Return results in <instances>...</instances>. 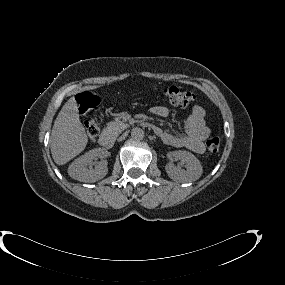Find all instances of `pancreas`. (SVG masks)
Masks as SVG:
<instances>
[{"mask_svg": "<svg viewBox=\"0 0 285 285\" xmlns=\"http://www.w3.org/2000/svg\"><path fill=\"white\" fill-rule=\"evenodd\" d=\"M125 127V124L122 121L116 120L107 125L106 131L118 134Z\"/></svg>", "mask_w": 285, "mask_h": 285, "instance_id": "1", "label": "pancreas"}]
</instances>
